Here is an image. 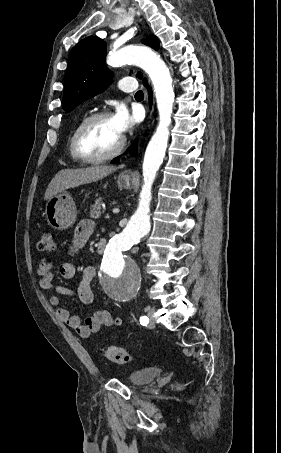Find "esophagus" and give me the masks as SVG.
<instances>
[{
	"label": "esophagus",
	"instance_id": "esophagus-1",
	"mask_svg": "<svg viewBox=\"0 0 281 453\" xmlns=\"http://www.w3.org/2000/svg\"><path fill=\"white\" fill-rule=\"evenodd\" d=\"M151 114H152V110H149V117H151Z\"/></svg>",
	"mask_w": 281,
	"mask_h": 453
}]
</instances>
